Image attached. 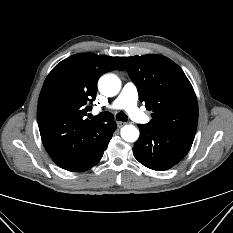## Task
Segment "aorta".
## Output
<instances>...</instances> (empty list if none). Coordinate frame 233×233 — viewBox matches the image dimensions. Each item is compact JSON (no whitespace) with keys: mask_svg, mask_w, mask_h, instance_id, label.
I'll list each match as a JSON object with an SVG mask.
<instances>
[{"mask_svg":"<svg viewBox=\"0 0 233 233\" xmlns=\"http://www.w3.org/2000/svg\"><path fill=\"white\" fill-rule=\"evenodd\" d=\"M98 87L103 95L112 97L119 93L121 82L116 75L106 74L99 79ZM121 137L127 142H135L139 137V130L133 125H125L121 129Z\"/></svg>","mask_w":233,"mask_h":233,"instance_id":"762f6f07","label":"aorta"}]
</instances>
